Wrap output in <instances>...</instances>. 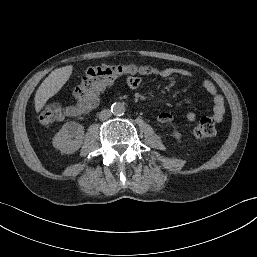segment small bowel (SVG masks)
<instances>
[{"label": "small bowel", "instance_id": "1", "mask_svg": "<svg viewBox=\"0 0 257 257\" xmlns=\"http://www.w3.org/2000/svg\"><path fill=\"white\" fill-rule=\"evenodd\" d=\"M159 76L162 78L180 77L185 79H194L195 74L187 69L180 67H167L159 71ZM127 84L130 88H137L140 85V80L135 75H130L127 78ZM205 91L210 95L213 104V118L215 121H221L225 113V102L223 96L218 92L216 86L209 80H205L202 83ZM69 115H73L70 110H67ZM184 118L188 122H193L196 119L194 112H187ZM157 121L162 124H169L173 121V115L169 112H161L156 117Z\"/></svg>", "mask_w": 257, "mask_h": 257}]
</instances>
